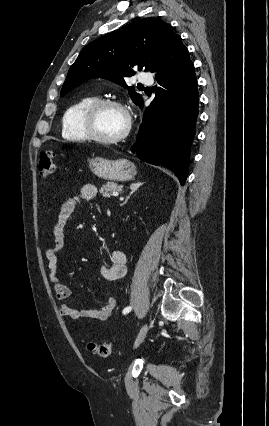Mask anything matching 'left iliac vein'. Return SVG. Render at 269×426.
<instances>
[{"instance_id":"obj_1","label":"left iliac vein","mask_w":269,"mask_h":426,"mask_svg":"<svg viewBox=\"0 0 269 426\" xmlns=\"http://www.w3.org/2000/svg\"><path fill=\"white\" fill-rule=\"evenodd\" d=\"M147 331H148V324L145 323L141 327L140 332H139V334H138V336H137V338H136V340L134 342V349H136L142 343V341L144 340V338H145V336L147 334Z\"/></svg>"}]
</instances>
